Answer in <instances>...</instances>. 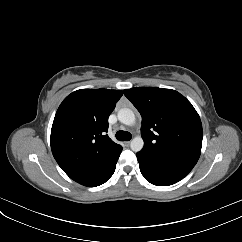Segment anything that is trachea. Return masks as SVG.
<instances>
[{"instance_id":"trachea-1","label":"trachea","mask_w":242,"mask_h":242,"mask_svg":"<svg viewBox=\"0 0 242 242\" xmlns=\"http://www.w3.org/2000/svg\"><path fill=\"white\" fill-rule=\"evenodd\" d=\"M116 138L119 141H129L132 138V136H131V133L127 131H118L116 133Z\"/></svg>"}]
</instances>
